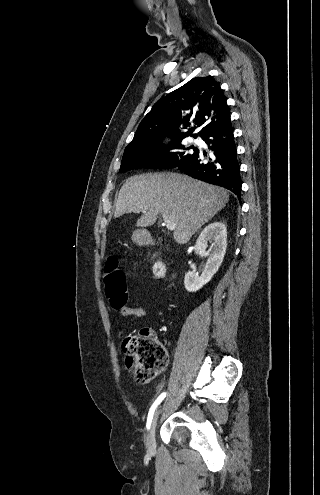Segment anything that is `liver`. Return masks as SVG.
<instances>
[{
    "label": "liver",
    "mask_w": 320,
    "mask_h": 495,
    "mask_svg": "<svg viewBox=\"0 0 320 495\" xmlns=\"http://www.w3.org/2000/svg\"><path fill=\"white\" fill-rule=\"evenodd\" d=\"M229 201L223 188L176 173L143 174L128 178L120 189L114 217L143 212L137 227L153 225L159 214L175 225L174 239L187 243Z\"/></svg>",
    "instance_id": "liver-1"
}]
</instances>
